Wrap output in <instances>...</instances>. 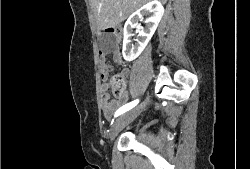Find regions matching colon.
Listing matches in <instances>:
<instances>
[{
  "label": "colon",
  "mask_w": 250,
  "mask_h": 169,
  "mask_svg": "<svg viewBox=\"0 0 250 169\" xmlns=\"http://www.w3.org/2000/svg\"><path fill=\"white\" fill-rule=\"evenodd\" d=\"M107 33V40L105 41V47H109L111 44H116L117 46H121L123 41V29L122 27H109L106 29ZM112 87H113V94L116 97H122L125 92V86L123 79L120 75H116L112 77Z\"/></svg>",
  "instance_id": "1"
}]
</instances>
